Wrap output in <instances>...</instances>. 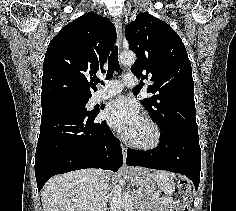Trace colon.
<instances>
[{
	"label": "colon",
	"mask_w": 236,
	"mask_h": 211,
	"mask_svg": "<svg viewBox=\"0 0 236 211\" xmlns=\"http://www.w3.org/2000/svg\"><path fill=\"white\" fill-rule=\"evenodd\" d=\"M178 190L181 193L182 201L184 206L182 211H190L189 204L192 201V188L189 182L179 181Z\"/></svg>",
	"instance_id": "colon-1"
}]
</instances>
